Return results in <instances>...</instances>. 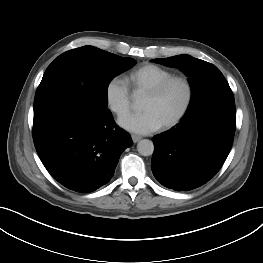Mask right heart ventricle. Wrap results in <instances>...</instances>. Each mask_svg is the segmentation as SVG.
<instances>
[{"mask_svg":"<svg viewBox=\"0 0 263 263\" xmlns=\"http://www.w3.org/2000/svg\"><path fill=\"white\" fill-rule=\"evenodd\" d=\"M172 76L168 69L156 64H144L125 75V82L133 92H146L162 80Z\"/></svg>","mask_w":263,"mask_h":263,"instance_id":"e07e8e85","label":"right heart ventricle"}]
</instances>
